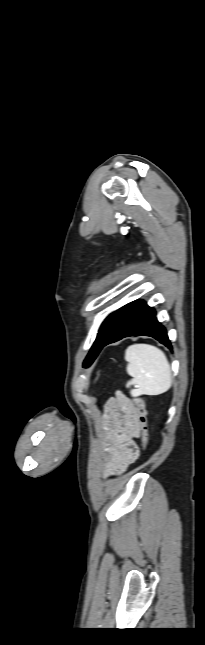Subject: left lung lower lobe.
Here are the masks:
<instances>
[{
  "instance_id": "left-lung-lower-lobe-1",
  "label": "left lung lower lobe",
  "mask_w": 205,
  "mask_h": 645,
  "mask_svg": "<svg viewBox=\"0 0 205 645\" xmlns=\"http://www.w3.org/2000/svg\"><path fill=\"white\" fill-rule=\"evenodd\" d=\"M150 336L172 349L166 329L157 321L154 308L143 300L133 301L110 315L99 352L107 344L128 336ZM98 352V353H99Z\"/></svg>"
}]
</instances>
